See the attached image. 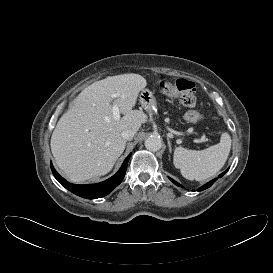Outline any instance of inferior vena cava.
Listing matches in <instances>:
<instances>
[{"label":"inferior vena cava","instance_id":"1","mask_svg":"<svg viewBox=\"0 0 273 273\" xmlns=\"http://www.w3.org/2000/svg\"><path fill=\"white\" fill-rule=\"evenodd\" d=\"M135 135V131L132 129H127L122 131L121 136L125 140H131Z\"/></svg>","mask_w":273,"mask_h":273}]
</instances>
